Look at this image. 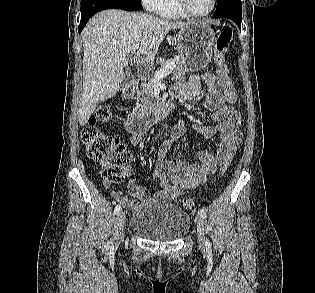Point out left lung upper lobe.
Returning <instances> with one entry per match:
<instances>
[{"instance_id": "obj_1", "label": "left lung upper lobe", "mask_w": 315, "mask_h": 293, "mask_svg": "<svg viewBox=\"0 0 315 293\" xmlns=\"http://www.w3.org/2000/svg\"><path fill=\"white\" fill-rule=\"evenodd\" d=\"M227 16H242L241 0H217L214 17L222 18Z\"/></svg>"}]
</instances>
